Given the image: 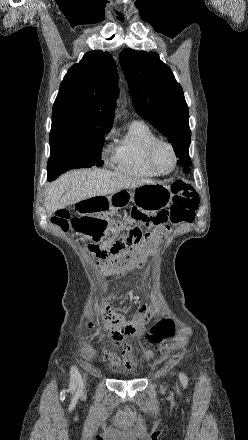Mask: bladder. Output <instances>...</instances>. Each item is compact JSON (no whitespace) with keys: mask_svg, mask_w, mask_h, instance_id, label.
I'll use <instances>...</instances> for the list:
<instances>
[{"mask_svg":"<svg viewBox=\"0 0 248 440\" xmlns=\"http://www.w3.org/2000/svg\"><path fill=\"white\" fill-rule=\"evenodd\" d=\"M120 374H121V375H126V374H125V373H123V372H120Z\"/></svg>","mask_w":248,"mask_h":440,"instance_id":"bladder-1","label":"bladder"}]
</instances>
